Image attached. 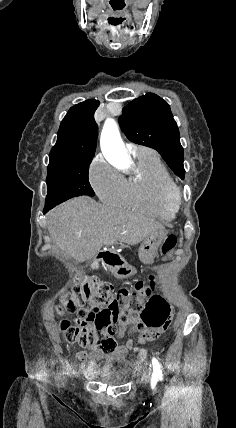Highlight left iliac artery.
Returning a JSON list of instances; mask_svg holds the SVG:
<instances>
[{
  "instance_id": "obj_1",
  "label": "left iliac artery",
  "mask_w": 236,
  "mask_h": 428,
  "mask_svg": "<svg viewBox=\"0 0 236 428\" xmlns=\"http://www.w3.org/2000/svg\"><path fill=\"white\" fill-rule=\"evenodd\" d=\"M152 365H153V374L152 377H162V370L160 363L158 362V360L156 358L152 359Z\"/></svg>"
}]
</instances>
